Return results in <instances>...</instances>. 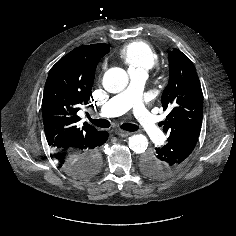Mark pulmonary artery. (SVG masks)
Masks as SVG:
<instances>
[{
	"label": "pulmonary artery",
	"instance_id": "1",
	"mask_svg": "<svg viewBox=\"0 0 236 236\" xmlns=\"http://www.w3.org/2000/svg\"><path fill=\"white\" fill-rule=\"evenodd\" d=\"M130 84L112 97L99 111L102 117H113L132 110L138 125L158 143L165 141V136L157 125L156 117L148 110L142 100L144 83L148 77L146 71L129 70Z\"/></svg>",
	"mask_w": 236,
	"mask_h": 236
}]
</instances>
